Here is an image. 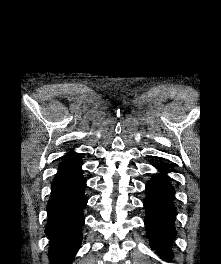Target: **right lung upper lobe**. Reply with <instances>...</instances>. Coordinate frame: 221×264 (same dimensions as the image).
Listing matches in <instances>:
<instances>
[{
  "instance_id": "cb5924a9",
  "label": "right lung upper lobe",
  "mask_w": 221,
  "mask_h": 264,
  "mask_svg": "<svg viewBox=\"0 0 221 264\" xmlns=\"http://www.w3.org/2000/svg\"><path fill=\"white\" fill-rule=\"evenodd\" d=\"M75 154L74 152H69L66 156H70V155H73Z\"/></svg>"
}]
</instances>
